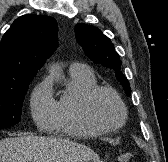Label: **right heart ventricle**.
<instances>
[{
	"mask_svg": "<svg viewBox=\"0 0 168 162\" xmlns=\"http://www.w3.org/2000/svg\"><path fill=\"white\" fill-rule=\"evenodd\" d=\"M95 86L97 80L89 68L85 71L69 70L66 89L56 101V117L51 126L53 130L72 137H93L102 134L101 130L88 122L83 112L84 97Z\"/></svg>",
	"mask_w": 168,
	"mask_h": 162,
	"instance_id": "1",
	"label": "right heart ventricle"
}]
</instances>
